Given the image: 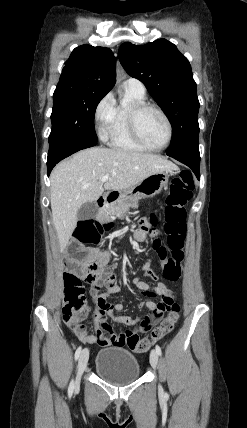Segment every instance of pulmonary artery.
Returning a JSON list of instances; mask_svg holds the SVG:
<instances>
[{"instance_id": "e3ab8cb5", "label": "pulmonary artery", "mask_w": 247, "mask_h": 428, "mask_svg": "<svg viewBox=\"0 0 247 428\" xmlns=\"http://www.w3.org/2000/svg\"><path fill=\"white\" fill-rule=\"evenodd\" d=\"M124 86L125 88L135 90L142 94H145L146 91L144 84L140 80L133 77L126 79L124 82Z\"/></svg>"}]
</instances>
